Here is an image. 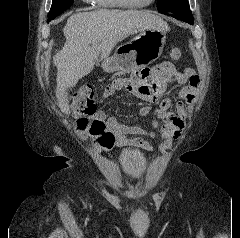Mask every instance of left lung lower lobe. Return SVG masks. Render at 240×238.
<instances>
[{
  "mask_svg": "<svg viewBox=\"0 0 240 238\" xmlns=\"http://www.w3.org/2000/svg\"><path fill=\"white\" fill-rule=\"evenodd\" d=\"M170 16L176 18V19H179L181 21H184V22H187L189 24H193V19H188V18H184V17H180V16H176V15H172V14H169Z\"/></svg>",
  "mask_w": 240,
  "mask_h": 238,
  "instance_id": "left-lung-lower-lobe-1",
  "label": "left lung lower lobe"
}]
</instances>
